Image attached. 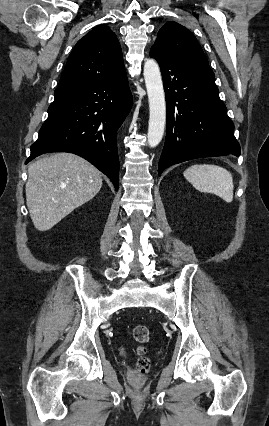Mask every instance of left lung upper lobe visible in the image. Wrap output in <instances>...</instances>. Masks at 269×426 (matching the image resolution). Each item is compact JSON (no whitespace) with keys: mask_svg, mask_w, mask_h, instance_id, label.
<instances>
[{"mask_svg":"<svg viewBox=\"0 0 269 426\" xmlns=\"http://www.w3.org/2000/svg\"><path fill=\"white\" fill-rule=\"evenodd\" d=\"M152 47L168 54L190 58L209 67L207 58L195 36L176 22H167L159 30Z\"/></svg>","mask_w":269,"mask_h":426,"instance_id":"1","label":"left lung upper lobe"}]
</instances>
